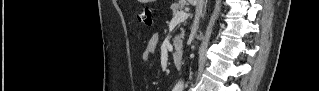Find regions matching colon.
Returning <instances> with one entry per match:
<instances>
[{
    "label": "colon",
    "instance_id": "obj_1",
    "mask_svg": "<svg viewBox=\"0 0 319 91\" xmlns=\"http://www.w3.org/2000/svg\"><path fill=\"white\" fill-rule=\"evenodd\" d=\"M139 19L142 24L151 27L153 25L152 9L149 7L144 8L139 13Z\"/></svg>",
    "mask_w": 319,
    "mask_h": 91
}]
</instances>
